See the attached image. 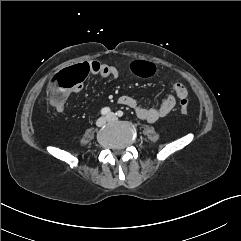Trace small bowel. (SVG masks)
I'll return each mask as SVG.
<instances>
[{
  "label": "small bowel",
  "instance_id": "c3829d8e",
  "mask_svg": "<svg viewBox=\"0 0 241 241\" xmlns=\"http://www.w3.org/2000/svg\"><path fill=\"white\" fill-rule=\"evenodd\" d=\"M91 66V73L99 75L103 78L117 79L119 77V71L115 66L100 63L98 61H87ZM83 85L79 84L74 89L73 92L77 93L82 90ZM186 90L185 86L181 83L174 84L172 88V94L167 96L162 104L156 108H146L140 106L137 101L128 95H121L118 97L117 102L120 105L130 107L134 109L138 118L146 120L150 123L156 122L157 120L167 116L176 105V96L179 97V90ZM187 91V90H186ZM68 97V93L65 94V100ZM65 100L61 103H52L51 105L59 113L64 112Z\"/></svg>",
  "mask_w": 241,
  "mask_h": 241
}]
</instances>
